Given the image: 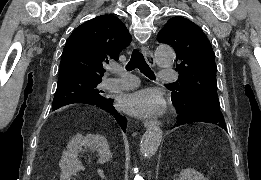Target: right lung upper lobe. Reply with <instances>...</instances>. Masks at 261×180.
I'll return each mask as SVG.
<instances>
[{
	"mask_svg": "<svg viewBox=\"0 0 261 180\" xmlns=\"http://www.w3.org/2000/svg\"><path fill=\"white\" fill-rule=\"evenodd\" d=\"M130 42L127 28L113 15L98 16L81 24L64 47L58 82L102 80L103 65L118 60V54Z\"/></svg>",
	"mask_w": 261,
	"mask_h": 180,
	"instance_id": "cb5924a9",
	"label": "right lung upper lobe"
}]
</instances>
